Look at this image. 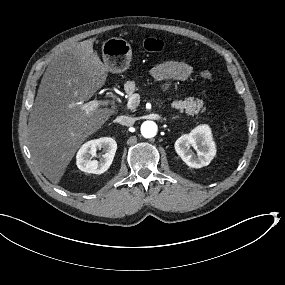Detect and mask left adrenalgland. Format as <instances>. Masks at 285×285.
Listing matches in <instances>:
<instances>
[{"label": "left adrenal gland", "instance_id": "obj_1", "mask_svg": "<svg viewBox=\"0 0 285 285\" xmlns=\"http://www.w3.org/2000/svg\"><path fill=\"white\" fill-rule=\"evenodd\" d=\"M178 118V116L173 117V119Z\"/></svg>", "mask_w": 285, "mask_h": 285}]
</instances>
